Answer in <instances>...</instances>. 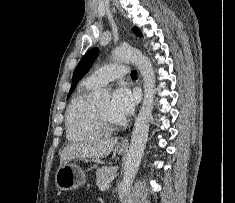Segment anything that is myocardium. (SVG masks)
Instances as JSON below:
<instances>
[{
    "label": "myocardium",
    "mask_w": 235,
    "mask_h": 203,
    "mask_svg": "<svg viewBox=\"0 0 235 203\" xmlns=\"http://www.w3.org/2000/svg\"><path fill=\"white\" fill-rule=\"evenodd\" d=\"M94 113L98 126L103 131V133H110L118 129L119 124L111 123L100 111L98 106L94 104Z\"/></svg>",
    "instance_id": "f54148a6"
}]
</instances>
